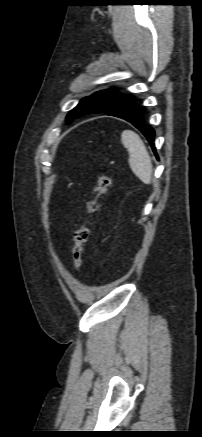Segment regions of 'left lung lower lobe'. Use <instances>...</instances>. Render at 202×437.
I'll return each instance as SVG.
<instances>
[{
	"instance_id": "0a47b994",
	"label": "left lung lower lobe",
	"mask_w": 202,
	"mask_h": 437,
	"mask_svg": "<svg viewBox=\"0 0 202 437\" xmlns=\"http://www.w3.org/2000/svg\"><path fill=\"white\" fill-rule=\"evenodd\" d=\"M106 114L110 116L122 118L130 122L138 130H140L143 133V135L147 138L156 157L158 158L154 145L155 131L152 127H150L145 122L142 108L139 105L129 102L121 107H118L114 110L107 112Z\"/></svg>"
}]
</instances>
